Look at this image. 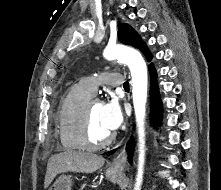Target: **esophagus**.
Segmentation results:
<instances>
[{"instance_id": "esophagus-1", "label": "esophagus", "mask_w": 221, "mask_h": 190, "mask_svg": "<svg viewBox=\"0 0 221 190\" xmlns=\"http://www.w3.org/2000/svg\"><path fill=\"white\" fill-rule=\"evenodd\" d=\"M127 155L125 150L122 149L119 154L113 159L110 167L115 171L122 172L126 166Z\"/></svg>"}]
</instances>
